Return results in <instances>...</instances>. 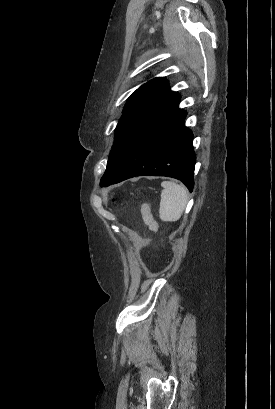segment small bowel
<instances>
[{"mask_svg": "<svg viewBox=\"0 0 275 409\" xmlns=\"http://www.w3.org/2000/svg\"><path fill=\"white\" fill-rule=\"evenodd\" d=\"M141 212H142V215H143V218H144L145 223H146L151 229L155 230V229L157 228V225H156V223L154 222V220H153V218H152V215H151V213H150L149 208H148L147 206H143Z\"/></svg>", "mask_w": 275, "mask_h": 409, "instance_id": "obj_1", "label": "small bowel"}]
</instances>
